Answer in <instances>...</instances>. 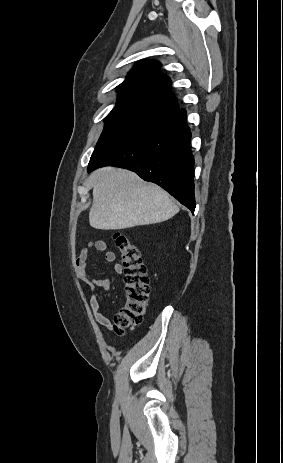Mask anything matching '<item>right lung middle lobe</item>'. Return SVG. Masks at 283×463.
<instances>
[{"mask_svg":"<svg viewBox=\"0 0 283 463\" xmlns=\"http://www.w3.org/2000/svg\"><path fill=\"white\" fill-rule=\"evenodd\" d=\"M160 115L159 110L119 97L116 106L105 118V128L92 155Z\"/></svg>","mask_w":283,"mask_h":463,"instance_id":"dd1d6c3e","label":"right lung middle lobe"}]
</instances>
